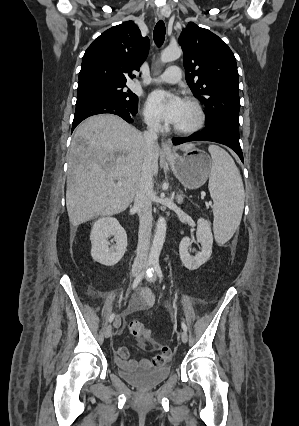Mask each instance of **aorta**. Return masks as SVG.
Here are the masks:
<instances>
[{
	"label": "aorta",
	"instance_id": "obj_1",
	"mask_svg": "<svg viewBox=\"0 0 299 426\" xmlns=\"http://www.w3.org/2000/svg\"><path fill=\"white\" fill-rule=\"evenodd\" d=\"M182 55V50L178 46H169L163 50L160 56L161 63H168L177 60ZM166 236V220L160 216L154 234L152 246L150 249L149 260L151 262H158L161 249L163 247Z\"/></svg>",
	"mask_w": 299,
	"mask_h": 426
}]
</instances>
